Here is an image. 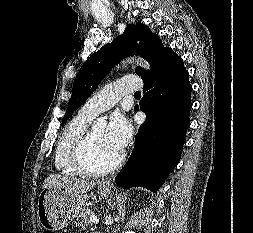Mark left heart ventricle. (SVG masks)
<instances>
[{
	"label": "left heart ventricle",
	"mask_w": 253,
	"mask_h": 233,
	"mask_svg": "<svg viewBox=\"0 0 253 233\" xmlns=\"http://www.w3.org/2000/svg\"><path fill=\"white\" fill-rule=\"evenodd\" d=\"M120 151L112 148L105 140V129L92 130V140L88 151V161L94 167H102L112 162Z\"/></svg>",
	"instance_id": "obj_1"
}]
</instances>
